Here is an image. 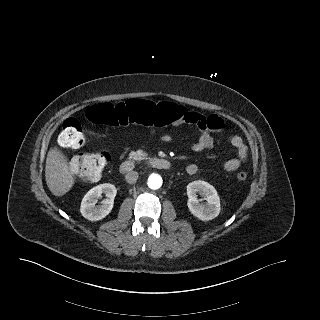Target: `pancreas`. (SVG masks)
Listing matches in <instances>:
<instances>
[{
	"label": "pancreas",
	"instance_id": "obj_1",
	"mask_svg": "<svg viewBox=\"0 0 320 320\" xmlns=\"http://www.w3.org/2000/svg\"><path fill=\"white\" fill-rule=\"evenodd\" d=\"M143 158V154L141 151H131L129 153V159L132 160H141Z\"/></svg>",
	"mask_w": 320,
	"mask_h": 320
}]
</instances>
